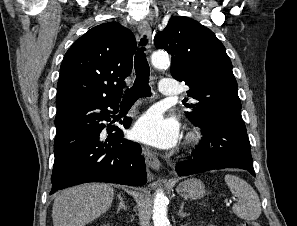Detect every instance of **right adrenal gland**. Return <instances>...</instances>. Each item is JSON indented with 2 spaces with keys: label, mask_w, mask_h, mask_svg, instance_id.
I'll return each mask as SVG.
<instances>
[{
  "label": "right adrenal gland",
  "mask_w": 297,
  "mask_h": 226,
  "mask_svg": "<svg viewBox=\"0 0 297 226\" xmlns=\"http://www.w3.org/2000/svg\"><path fill=\"white\" fill-rule=\"evenodd\" d=\"M118 199H119V205H118L117 212H119L121 209H124V211H127V206L125 205V201L121 194H118Z\"/></svg>",
  "instance_id": "obj_1"
}]
</instances>
